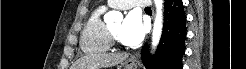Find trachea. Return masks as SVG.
I'll return each mask as SVG.
<instances>
[{"instance_id":"trachea-1","label":"trachea","mask_w":246,"mask_h":69,"mask_svg":"<svg viewBox=\"0 0 246 69\" xmlns=\"http://www.w3.org/2000/svg\"><path fill=\"white\" fill-rule=\"evenodd\" d=\"M147 10H150V7H146Z\"/></svg>"}]
</instances>
